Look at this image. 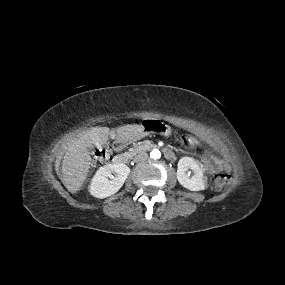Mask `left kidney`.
Returning <instances> with one entry per match:
<instances>
[{
	"mask_svg": "<svg viewBox=\"0 0 285 285\" xmlns=\"http://www.w3.org/2000/svg\"><path fill=\"white\" fill-rule=\"evenodd\" d=\"M193 171L192 177H189L187 171ZM204 170L196 160L190 157H182L178 162L177 180L185 188L191 191L204 190L206 183L204 180Z\"/></svg>",
	"mask_w": 285,
	"mask_h": 285,
	"instance_id": "obj_1",
	"label": "left kidney"
}]
</instances>
